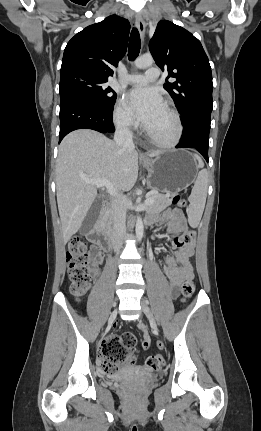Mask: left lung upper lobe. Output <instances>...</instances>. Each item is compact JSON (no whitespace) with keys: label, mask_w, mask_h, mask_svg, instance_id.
Instances as JSON below:
<instances>
[{"label":"left lung upper lobe","mask_w":261,"mask_h":431,"mask_svg":"<svg viewBox=\"0 0 261 431\" xmlns=\"http://www.w3.org/2000/svg\"><path fill=\"white\" fill-rule=\"evenodd\" d=\"M149 49L156 64L168 71L164 89L173 98L182 123L197 113H211L212 73L200 41L184 28L164 20L158 23ZM169 78L175 81L168 82Z\"/></svg>","instance_id":"1"}]
</instances>
